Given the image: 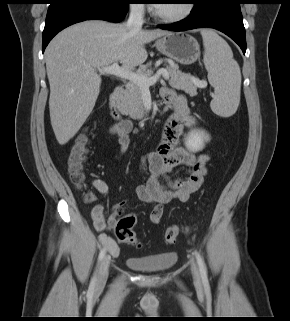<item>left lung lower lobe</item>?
I'll return each mask as SVG.
<instances>
[{"mask_svg": "<svg viewBox=\"0 0 290 321\" xmlns=\"http://www.w3.org/2000/svg\"><path fill=\"white\" fill-rule=\"evenodd\" d=\"M240 4L242 0H207L199 7H194L188 18L159 27L170 31L214 28L233 39L245 54L246 38Z\"/></svg>", "mask_w": 290, "mask_h": 321, "instance_id": "obj_1", "label": "left lung lower lobe"}]
</instances>
